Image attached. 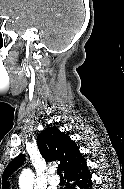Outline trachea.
I'll return each mask as SVG.
<instances>
[{
  "mask_svg": "<svg viewBox=\"0 0 124 189\" xmlns=\"http://www.w3.org/2000/svg\"><path fill=\"white\" fill-rule=\"evenodd\" d=\"M57 174L60 176V177H63L62 173H61V170L58 168L57 169Z\"/></svg>",
  "mask_w": 124,
  "mask_h": 189,
  "instance_id": "trachea-1",
  "label": "trachea"
}]
</instances>
